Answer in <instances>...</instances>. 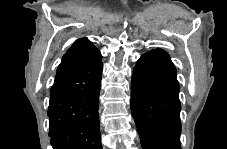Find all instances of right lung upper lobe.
I'll return each instance as SVG.
<instances>
[{"label": "right lung upper lobe", "mask_w": 227, "mask_h": 149, "mask_svg": "<svg viewBox=\"0 0 227 149\" xmlns=\"http://www.w3.org/2000/svg\"><path fill=\"white\" fill-rule=\"evenodd\" d=\"M101 57L100 51L87 38L76 40L63 56L57 73L94 61Z\"/></svg>", "instance_id": "cb5924a9"}]
</instances>
